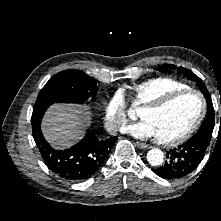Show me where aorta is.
<instances>
[{"label":"aorta","instance_id":"obj_1","mask_svg":"<svg viewBox=\"0 0 221 221\" xmlns=\"http://www.w3.org/2000/svg\"><path fill=\"white\" fill-rule=\"evenodd\" d=\"M147 161L152 166H159L164 161V153L158 148L151 149L147 153Z\"/></svg>","mask_w":221,"mask_h":221}]
</instances>
